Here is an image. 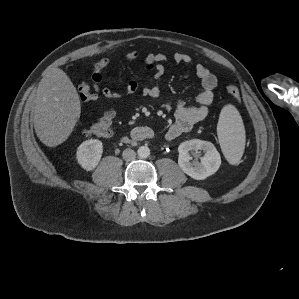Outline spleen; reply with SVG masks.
I'll return each instance as SVG.
<instances>
[{
	"label": "spleen",
	"instance_id": "3e777b00",
	"mask_svg": "<svg viewBox=\"0 0 299 299\" xmlns=\"http://www.w3.org/2000/svg\"><path fill=\"white\" fill-rule=\"evenodd\" d=\"M222 151L230 164H237L245 147V129L238 110L233 105L222 108L217 124Z\"/></svg>",
	"mask_w": 299,
	"mask_h": 299
}]
</instances>
